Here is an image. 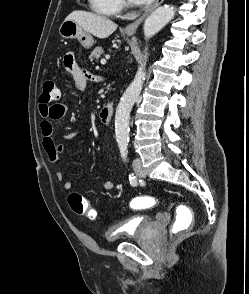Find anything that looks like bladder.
<instances>
[{
  "label": "bladder",
  "mask_w": 249,
  "mask_h": 294,
  "mask_svg": "<svg viewBox=\"0 0 249 294\" xmlns=\"http://www.w3.org/2000/svg\"><path fill=\"white\" fill-rule=\"evenodd\" d=\"M155 223V218L149 215H140L125 222V229L116 233L113 228H110L104 234L107 243H115L119 240H132L143 237L150 231V228Z\"/></svg>",
  "instance_id": "31cf9c89"
}]
</instances>
